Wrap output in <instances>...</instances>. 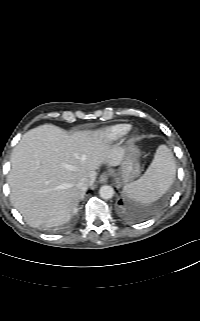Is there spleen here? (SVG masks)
<instances>
[{
    "label": "spleen",
    "mask_w": 200,
    "mask_h": 321,
    "mask_svg": "<svg viewBox=\"0 0 200 321\" xmlns=\"http://www.w3.org/2000/svg\"><path fill=\"white\" fill-rule=\"evenodd\" d=\"M175 176L174 155L166 145H160L146 172L138 180L126 184L123 191L135 201L149 204L169 190Z\"/></svg>",
    "instance_id": "3e777b00"
}]
</instances>
